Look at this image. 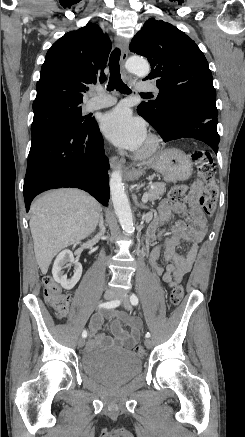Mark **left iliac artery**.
<instances>
[{
  "label": "left iliac artery",
  "mask_w": 245,
  "mask_h": 437,
  "mask_svg": "<svg viewBox=\"0 0 245 437\" xmlns=\"http://www.w3.org/2000/svg\"><path fill=\"white\" fill-rule=\"evenodd\" d=\"M130 302H131V304L134 305V306L138 305V302H139L138 297H137L135 294H131V296H130ZM145 337H146V338H149V337H150V333L147 332L146 335H145Z\"/></svg>",
  "instance_id": "obj_1"
}]
</instances>
